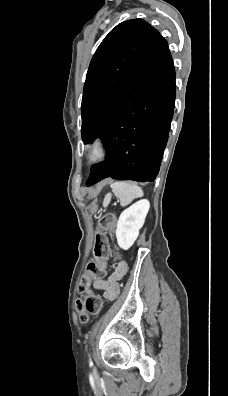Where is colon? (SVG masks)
Returning a JSON list of instances; mask_svg holds the SVG:
<instances>
[{"instance_id":"colon-1","label":"colon","mask_w":228,"mask_h":396,"mask_svg":"<svg viewBox=\"0 0 228 396\" xmlns=\"http://www.w3.org/2000/svg\"><path fill=\"white\" fill-rule=\"evenodd\" d=\"M115 224L116 216L112 213L103 214L98 219L93 251L94 260L87 265L78 287L79 291L85 294L83 299L77 301V310L82 322H86L91 315L98 314L102 309L103 302L98 295L90 291V283L104 274L107 253L105 233H111Z\"/></svg>"}]
</instances>
